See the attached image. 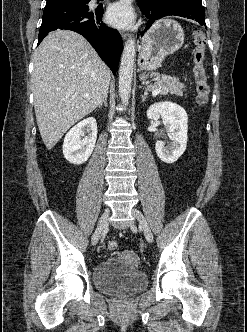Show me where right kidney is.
Instances as JSON below:
<instances>
[{
  "instance_id": "ca27d5eb",
  "label": "right kidney",
  "mask_w": 247,
  "mask_h": 332,
  "mask_svg": "<svg viewBox=\"0 0 247 332\" xmlns=\"http://www.w3.org/2000/svg\"><path fill=\"white\" fill-rule=\"evenodd\" d=\"M84 137V138H83ZM97 139V123L89 117L72 127L63 142V155L72 164H83L91 156Z\"/></svg>"
}]
</instances>
